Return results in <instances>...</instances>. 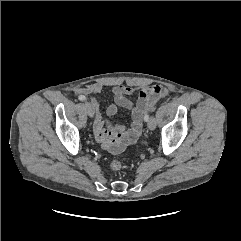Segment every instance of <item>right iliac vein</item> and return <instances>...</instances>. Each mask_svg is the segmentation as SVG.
I'll return each instance as SVG.
<instances>
[{
  "label": "right iliac vein",
  "instance_id": "63e3f726",
  "mask_svg": "<svg viewBox=\"0 0 241 241\" xmlns=\"http://www.w3.org/2000/svg\"><path fill=\"white\" fill-rule=\"evenodd\" d=\"M85 109H86V112L87 114L90 116V117H93L94 116V107L91 103L89 102H85Z\"/></svg>",
  "mask_w": 241,
  "mask_h": 241
}]
</instances>
